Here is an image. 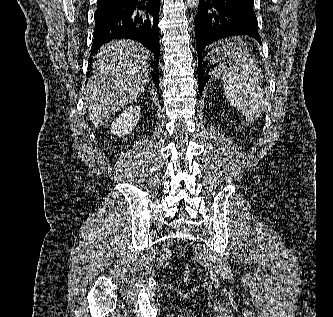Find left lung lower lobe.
I'll use <instances>...</instances> for the list:
<instances>
[{"mask_svg":"<svg viewBox=\"0 0 333 317\" xmlns=\"http://www.w3.org/2000/svg\"><path fill=\"white\" fill-rule=\"evenodd\" d=\"M253 0H200L195 17V37L198 54L199 92L225 57L221 44L211 53L205 47L225 37L247 35L261 44ZM224 50V49H223ZM218 69V68H217Z\"/></svg>","mask_w":333,"mask_h":317,"instance_id":"left-lung-lower-lobe-1","label":"left lung lower lobe"}]
</instances>
